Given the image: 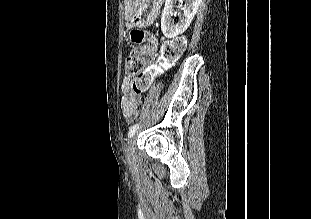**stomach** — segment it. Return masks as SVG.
Wrapping results in <instances>:
<instances>
[{
    "mask_svg": "<svg viewBox=\"0 0 311 219\" xmlns=\"http://www.w3.org/2000/svg\"><path fill=\"white\" fill-rule=\"evenodd\" d=\"M161 0H139L138 6L129 19L135 27H148L155 21Z\"/></svg>",
    "mask_w": 311,
    "mask_h": 219,
    "instance_id": "1",
    "label": "stomach"
}]
</instances>
